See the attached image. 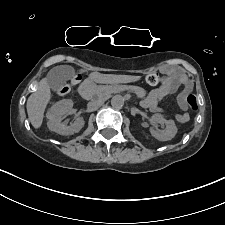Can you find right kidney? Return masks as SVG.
Segmentation results:
<instances>
[{"label":"right kidney","mask_w":225,"mask_h":225,"mask_svg":"<svg viewBox=\"0 0 225 225\" xmlns=\"http://www.w3.org/2000/svg\"><path fill=\"white\" fill-rule=\"evenodd\" d=\"M73 102L70 99L61 100L51 107L47 113L48 127L51 131H54L60 135H72L78 133L85 124L82 117H78L73 123L67 126L65 123H61L63 117L68 114H72Z\"/></svg>","instance_id":"right-kidney-1"}]
</instances>
